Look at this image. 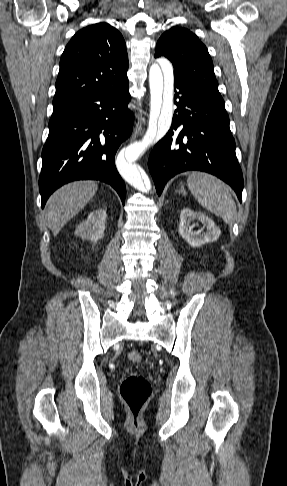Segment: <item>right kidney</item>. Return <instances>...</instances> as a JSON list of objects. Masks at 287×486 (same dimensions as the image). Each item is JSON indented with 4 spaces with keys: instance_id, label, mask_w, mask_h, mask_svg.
I'll return each instance as SVG.
<instances>
[{
    "instance_id": "right-kidney-1",
    "label": "right kidney",
    "mask_w": 287,
    "mask_h": 486,
    "mask_svg": "<svg viewBox=\"0 0 287 486\" xmlns=\"http://www.w3.org/2000/svg\"><path fill=\"white\" fill-rule=\"evenodd\" d=\"M106 217V211L102 208L92 211L86 220L79 223L75 235L85 240L97 242L104 236Z\"/></svg>"
}]
</instances>
